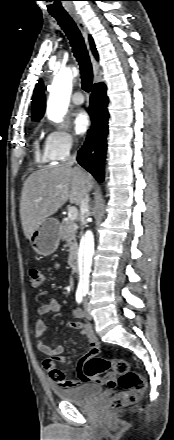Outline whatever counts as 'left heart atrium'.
<instances>
[{"mask_svg":"<svg viewBox=\"0 0 174 440\" xmlns=\"http://www.w3.org/2000/svg\"><path fill=\"white\" fill-rule=\"evenodd\" d=\"M90 125V117L84 110L75 113L73 118V127L77 134H84Z\"/></svg>","mask_w":174,"mask_h":440,"instance_id":"1","label":"left heart atrium"}]
</instances>
